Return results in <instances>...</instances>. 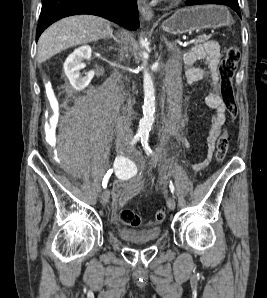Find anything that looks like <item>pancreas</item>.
Segmentation results:
<instances>
[{
    "label": "pancreas",
    "mask_w": 267,
    "mask_h": 298,
    "mask_svg": "<svg viewBox=\"0 0 267 298\" xmlns=\"http://www.w3.org/2000/svg\"><path fill=\"white\" fill-rule=\"evenodd\" d=\"M207 39V36H198V39L196 40L195 44L204 43Z\"/></svg>",
    "instance_id": "1"
}]
</instances>
